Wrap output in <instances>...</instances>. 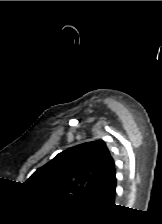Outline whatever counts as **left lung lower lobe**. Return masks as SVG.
<instances>
[{
	"label": "left lung lower lobe",
	"mask_w": 162,
	"mask_h": 224,
	"mask_svg": "<svg viewBox=\"0 0 162 224\" xmlns=\"http://www.w3.org/2000/svg\"><path fill=\"white\" fill-rule=\"evenodd\" d=\"M116 178L115 172L103 183V185L91 193L86 199L94 202L112 205L115 199Z\"/></svg>",
	"instance_id": "0a47b994"
}]
</instances>
